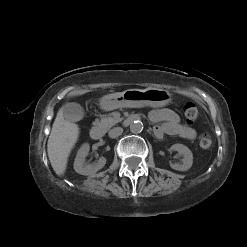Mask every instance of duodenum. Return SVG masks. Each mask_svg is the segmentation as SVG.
I'll return each mask as SVG.
<instances>
[{
  "label": "duodenum",
  "instance_id": "obj_1",
  "mask_svg": "<svg viewBox=\"0 0 247 247\" xmlns=\"http://www.w3.org/2000/svg\"><path fill=\"white\" fill-rule=\"evenodd\" d=\"M133 119L128 118L125 120V125H130L132 123ZM104 135V129L99 125H94L90 129V137L93 140H100Z\"/></svg>",
  "mask_w": 247,
  "mask_h": 247
}]
</instances>
